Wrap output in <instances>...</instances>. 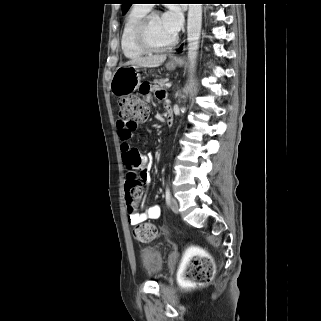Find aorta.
Segmentation results:
<instances>
[{
	"mask_svg": "<svg viewBox=\"0 0 321 321\" xmlns=\"http://www.w3.org/2000/svg\"><path fill=\"white\" fill-rule=\"evenodd\" d=\"M202 25V4H189L187 19V41L189 71L194 72ZM189 90L187 86L186 92Z\"/></svg>",
	"mask_w": 321,
	"mask_h": 321,
	"instance_id": "aorta-1",
	"label": "aorta"
}]
</instances>
